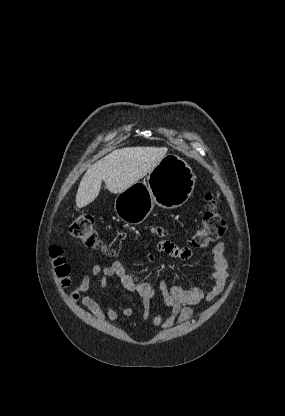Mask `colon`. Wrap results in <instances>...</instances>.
I'll return each mask as SVG.
<instances>
[{"instance_id":"obj_1","label":"colon","mask_w":285,"mask_h":416,"mask_svg":"<svg viewBox=\"0 0 285 416\" xmlns=\"http://www.w3.org/2000/svg\"><path fill=\"white\" fill-rule=\"evenodd\" d=\"M205 198L208 203V210L203 216L202 227L197 229L191 237L189 246L192 248L202 249L207 247L212 242L220 239L226 230V223L220 213L217 200L210 193H207ZM69 232L72 237L84 245L103 250L108 255L114 256V251L103 245L96 229L94 217L91 214H82L77 217L71 223ZM50 254L54 258V267L57 276L62 279L63 284L68 283L67 276L70 268L61 256L60 249L52 246L50 248Z\"/></svg>"}]
</instances>
